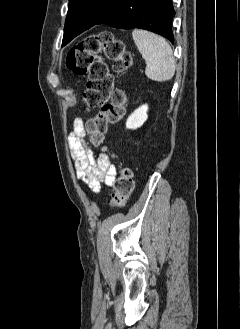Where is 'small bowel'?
<instances>
[{
  "mask_svg": "<svg viewBox=\"0 0 240 329\" xmlns=\"http://www.w3.org/2000/svg\"><path fill=\"white\" fill-rule=\"evenodd\" d=\"M86 128L81 118H75L69 134V145L74 161L76 175L93 192L97 193L102 184L111 186L116 177V169L108 155L95 157L85 140Z\"/></svg>",
  "mask_w": 240,
  "mask_h": 329,
  "instance_id": "1",
  "label": "small bowel"
}]
</instances>
